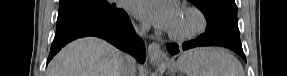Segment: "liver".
<instances>
[{
    "instance_id": "1",
    "label": "liver",
    "mask_w": 287,
    "mask_h": 76,
    "mask_svg": "<svg viewBox=\"0 0 287 76\" xmlns=\"http://www.w3.org/2000/svg\"><path fill=\"white\" fill-rule=\"evenodd\" d=\"M127 55L96 37L66 45L49 63L47 76H122Z\"/></svg>"
}]
</instances>
